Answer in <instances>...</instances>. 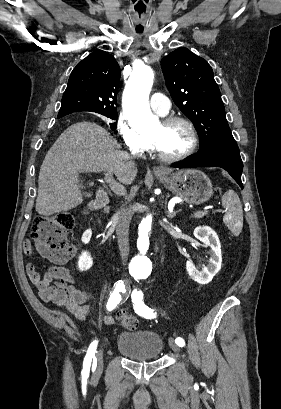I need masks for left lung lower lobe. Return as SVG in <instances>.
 Wrapping results in <instances>:
<instances>
[{
  "label": "left lung lower lobe",
  "mask_w": 281,
  "mask_h": 409,
  "mask_svg": "<svg viewBox=\"0 0 281 409\" xmlns=\"http://www.w3.org/2000/svg\"><path fill=\"white\" fill-rule=\"evenodd\" d=\"M175 168L221 167L225 169L243 189L241 174L243 163L239 151L199 150L186 161L173 164Z\"/></svg>",
  "instance_id": "obj_1"
}]
</instances>
